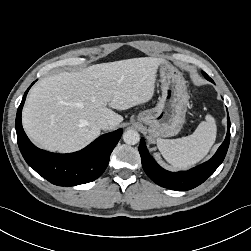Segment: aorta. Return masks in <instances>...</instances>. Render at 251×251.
<instances>
[{"label":"aorta","instance_id":"obj_1","mask_svg":"<svg viewBox=\"0 0 251 251\" xmlns=\"http://www.w3.org/2000/svg\"><path fill=\"white\" fill-rule=\"evenodd\" d=\"M123 140L128 145H135L140 141V135L135 130H127L123 134Z\"/></svg>","mask_w":251,"mask_h":251}]
</instances>
